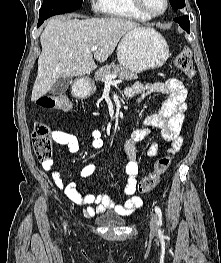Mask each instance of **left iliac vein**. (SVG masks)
Returning <instances> with one entry per match:
<instances>
[{"label": "left iliac vein", "mask_w": 221, "mask_h": 263, "mask_svg": "<svg viewBox=\"0 0 221 263\" xmlns=\"http://www.w3.org/2000/svg\"><path fill=\"white\" fill-rule=\"evenodd\" d=\"M150 228L153 232L157 231V217L154 213L151 214Z\"/></svg>", "instance_id": "left-iliac-vein-1"}]
</instances>
